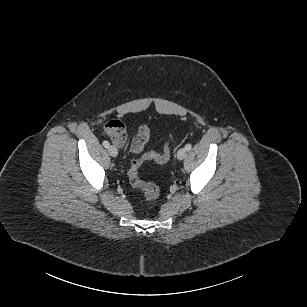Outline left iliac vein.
Masks as SVG:
<instances>
[{"mask_svg":"<svg viewBox=\"0 0 307 307\" xmlns=\"http://www.w3.org/2000/svg\"><path fill=\"white\" fill-rule=\"evenodd\" d=\"M186 154H187V150L185 148H181L177 152V158L179 160H183L186 157Z\"/></svg>","mask_w":307,"mask_h":307,"instance_id":"left-iliac-vein-1","label":"left iliac vein"}]
</instances>
